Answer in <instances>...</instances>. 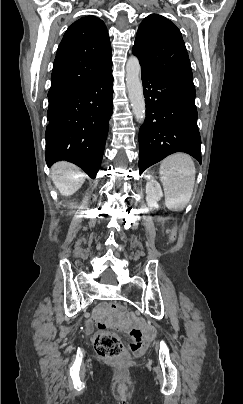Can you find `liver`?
<instances>
[{
  "instance_id": "liver-1",
  "label": "liver",
  "mask_w": 243,
  "mask_h": 404,
  "mask_svg": "<svg viewBox=\"0 0 243 404\" xmlns=\"http://www.w3.org/2000/svg\"><path fill=\"white\" fill-rule=\"evenodd\" d=\"M52 182L61 196H72L85 182V174L69 162H57L51 170Z\"/></svg>"
}]
</instances>
